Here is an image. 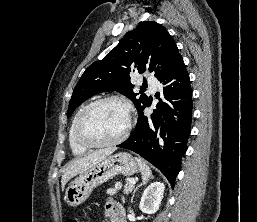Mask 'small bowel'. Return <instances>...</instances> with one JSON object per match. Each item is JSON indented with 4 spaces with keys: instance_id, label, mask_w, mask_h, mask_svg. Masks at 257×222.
Returning a JSON list of instances; mask_svg holds the SVG:
<instances>
[{
    "instance_id": "c3829d8e",
    "label": "small bowel",
    "mask_w": 257,
    "mask_h": 222,
    "mask_svg": "<svg viewBox=\"0 0 257 222\" xmlns=\"http://www.w3.org/2000/svg\"><path fill=\"white\" fill-rule=\"evenodd\" d=\"M105 213L110 222H125L124 211L115 201L106 203Z\"/></svg>"
}]
</instances>
